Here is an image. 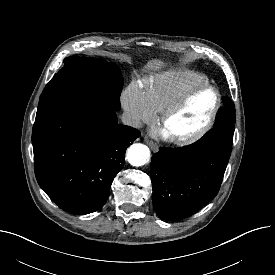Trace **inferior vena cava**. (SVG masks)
Wrapping results in <instances>:
<instances>
[{"mask_svg": "<svg viewBox=\"0 0 275 275\" xmlns=\"http://www.w3.org/2000/svg\"><path fill=\"white\" fill-rule=\"evenodd\" d=\"M121 120L123 124L131 127L140 128L142 126V122L140 121V118L128 112H125L122 114Z\"/></svg>", "mask_w": 275, "mask_h": 275, "instance_id": "602c4592", "label": "inferior vena cava"}]
</instances>
